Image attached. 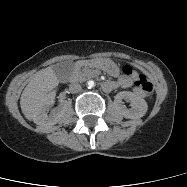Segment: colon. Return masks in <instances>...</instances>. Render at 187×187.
Wrapping results in <instances>:
<instances>
[{
	"mask_svg": "<svg viewBox=\"0 0 187 187\" xmlns=\"http://www.w3.org/2000/svg\"><path fill=\"white\" fill-rule=\"evenodd\" d=\"M123 73L125 76L134 80V83L141 94L150 95L153 93L154 85L144 74L139 73L130 66H125L123 68Z\"/></svg>",
	"mask_w": 187,
	"mask_h": 187,
	"instance_id": "1",
	"label": "colon"
}]
</instances>
